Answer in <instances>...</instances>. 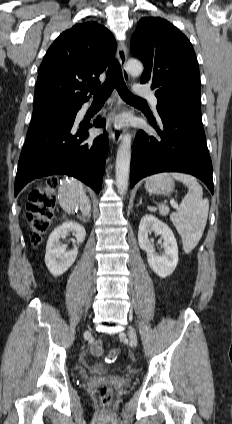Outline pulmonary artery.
Instances as JSON below:
<instances>
[{
	"mask_svg": "<svg viewBox=\"0 0 232 424\" xmlns=\"http://www.w3.org/2000/svg\"><path fill=\"white\" fill-rule=\"evenodd\" d=\"M134 90L136 94L147 97L152 104L153 110L155 111V113H157L156 107H157L158 99L155 96V94L145 85H136L134 87Z\"/></svg>",
	"mask_w": 232,
	"mask_h": 424,
	"instance_id": "pulmonary-artery-1",
	"label": "pulmonary artery"
}]
</instances>
